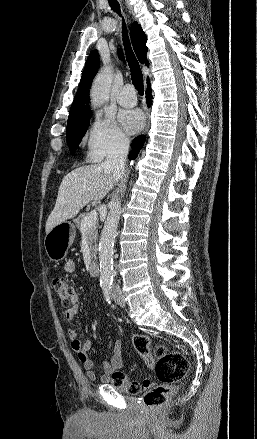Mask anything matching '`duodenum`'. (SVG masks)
<instances>
[{"mask_svg": "<svg viewBox=\"0 0 257 439\" xmlns=\"http://www.w3.org/2000/svg\"><path fill=\"white\" fill-rule=\"evenodd\" d=\"M89 272L90 275L93 277H97L100 275V267L96 260H92L89 264Z\"/></svg>", "mask_w": 257, "mask_h": 439, "instance_id": "duodenum-1", "label": "duodenum"}]
</instances>
